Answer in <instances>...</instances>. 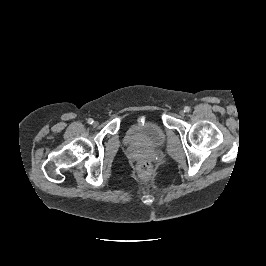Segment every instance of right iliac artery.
<instances>
[{
    "mask_svg": "<svg viewBox=\"0 0 266 266\" xmlns=\"http://www.w3.org/2000/svg\"><path fill=\"white\" fill-rule=\"evenodd\" d=\"M93 122H94V121H93L92 118L88 119V123H89V124H93Z\"/></svg>",
    "mask_w": 266,
    "mask_h": 266,
    "instance_id": "1",
    "label": "right iliac artery"
}]
</instances>
